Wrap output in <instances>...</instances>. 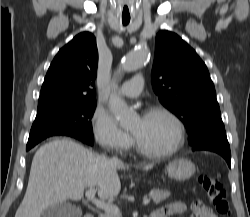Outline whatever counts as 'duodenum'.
I'll list each match as a JSON object with an SVG mask.
<instances>
[{
  "instance_id": "410a0bca",
  "label": "duodenum",
  "mask_w": 250,
  "mask_h": 217,
  "mask_svg": "<svg viewBox=\"0 0 250 217\" xmlns=\"http://www.w3.org/2000/svg\"><path fill=\"white\" fill-rule=\"evenodd\" d=\"M159 216H160L159 212L156 210V211L152 212L149 217H159ZM84 217H95V215L92 212H88L85 214Z\"/></svg>"
}]
</instances>
